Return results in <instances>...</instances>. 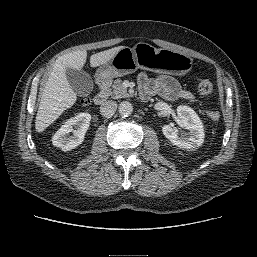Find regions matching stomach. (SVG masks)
<instances>
[{"label":"stomach","mask_w":257,"mask_h":257,"mask_svg":"<svg viewBox=\"0 0 257 257\" xmlns=\"http://www.w3.org/2000/svg\"><path fill=\"white\" fill-rule=\"evenodd\" d=\"M193 65L192 59L168 49H157L147 43H138L133 48H122L110 61L96 72L98 79L111 80L145 69L157 73L184 75Z\"/></svg>","instance_id":"0dacf381"}]
</instances>
